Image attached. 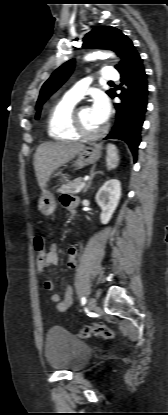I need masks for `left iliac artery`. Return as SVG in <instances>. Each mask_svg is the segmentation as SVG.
I'll use <instances>...</instances> for the list:
<instances>
[{"label": "left iliac artery", "mask_w": 168, "mask_h": 415, "mask_svg": "<svg viewBox=\"0 0 168 415\" xmlns=\"http://www.w3.org/2000/svg\"><path fill=\"white\" fill-rule=\"evenodd\" d=\"M85 303H86V298L85 297H82L81 298V304L84 305Z\"/></svg>", "instance_id": "44dca946"}]
</instances>
